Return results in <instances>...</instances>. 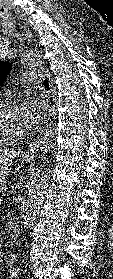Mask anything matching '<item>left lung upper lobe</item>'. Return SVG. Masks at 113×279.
<instances>
[{"label":"left lung upper lobe","instance_id":"5c2ea615","mask_svg":"<svg viewBox=\"0 0 113 279\" xmlns=\"http://www.w3.org/2000/svg\"><path fill=\"white\" fill-rule=\"evenodd\" d=\"M11 70L9 62L0 61V84L6 79Z\"/></svg>","mask_w":113,"mask_h":279}]
</instances>
